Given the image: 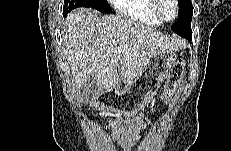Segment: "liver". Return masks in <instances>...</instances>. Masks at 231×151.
<instances>
[{
	"instance_id": "liver-1",
	"label": "liver",
	"mask_w": 231,
	"mask_h": 151,
	"mask_svg": "<svg viewBox=\"0 0 231 151\" xmlns=\"http://www.w3.org/2000/svg\"><path fill=\"white\" fill-rule=\"evenodd\" d=\"M63 53L71 67L77 92L94 76L101 93L122 81L129 84L158 50L177 51L180 38H169L157 29L114 15L99 16L90 8L70 12L62 28Z\"/></svg>"
}]
</instances>
